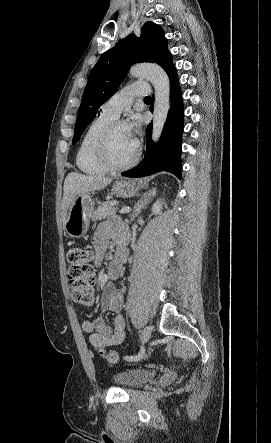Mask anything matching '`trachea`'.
I'll return each instance as SVG.
<instances>
[{
  "label": "trachea",
  "instance_id": "obj_1",
  "mask_svg": "<svg viewBox=\"0 0 271 443\" xmlns=\"http://www.w3.org/2000/svg\"><path fill=\"white\" fill-rule=\"evenodd\" d=\"M149 100H151V97H145L144 98V101H149Z\"/></svg>",
  "mask_w": 271,
  "mask_h": 443
}]
</instances>
